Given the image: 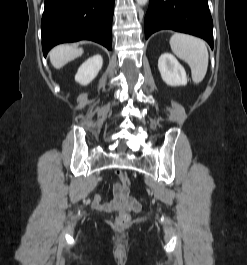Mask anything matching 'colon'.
<instances>
[{
    "label": "colon",
    "instance_id": "obj_1",
    "mask_svg": "<svg viewBox=\"0 0 247 265\" xmlns=\"http://www.w3.org/2000/svg\"><path fill=\"white\" fill-rule=\"evenodd\" d=\"M118 177H119V185L121 189L124 192H128L129 185H130L128 176L120 172L118 173ZM129 221H130V216L127 213L122 212L117 216L115 223L118 228H124L128 225Z\"/></svg>",
    "mask_w": 247,
    "mask_h": 265
}]
</instances>
